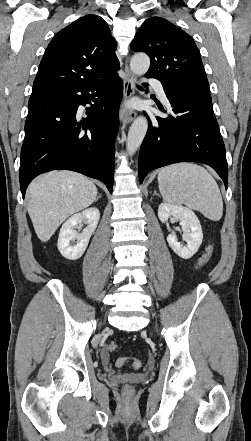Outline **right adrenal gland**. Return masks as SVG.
Listing matches in <instances>:
<instances>
[{
  "label": "right adrenal gland",
  "mask_w": 251,
  "mask_h": 441,
  "mask_svg": "<svg viewBox=\"0 0 251 441\" xmlns=\"http://www.w3.org/2000/svg\"><path fill=\"white\" fill-rule=\"evenodd\" d=\"M99 198H101V195H100V194H99L98 197L96 198L95 202H97Z\"/></svg>",
  "instance_id": "2a0ac1e0"
}]
</instances>
